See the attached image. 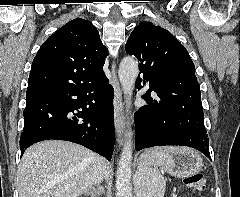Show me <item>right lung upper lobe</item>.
I'll return each instance as SVG.
<instances>
[{
	"label": "right lung upper lobe",
	"instance_id": "right-lung-upper-lobe-1",
	"mask_svg": "<svg viewBox=\"0 0 240 197\" xmlns=\"http://www.w3.org/2000/svg\"><path fill=\"white\" fill-rule=\"evenodd\" d=\"M107 48L96 27L76 18L51 35L36 54L27 92L58 85L80 86L105 76Z\"/></svg>",
	"mask_w": 240,
	"mask_h": 197
}]
</instances>
